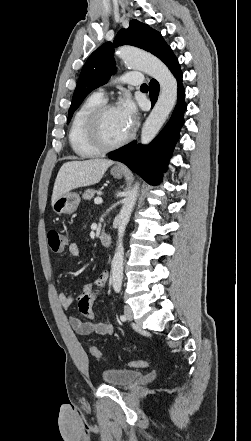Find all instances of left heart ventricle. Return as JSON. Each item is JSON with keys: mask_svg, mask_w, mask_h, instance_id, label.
<instances>
[{"mask_svg": "<svg viewBox=\"0 0 251 441\" xmlns=\"http://www.w3.org/2000/svg\"><path fill=\"white\" fill-rule=\"evenodd\" d=\"M101 131L108 143H115L124 138L129 129L124 124L118 108L107 111L102 118Z\"/></svg>", "mask_w": 251, "mask_h": 441, "instance_id": "obj_1", "label": "left heart ventricle"}]
</instances>
